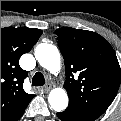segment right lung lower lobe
I'll list each match as a JSON object with an SVG mask.
<instances>
[{
  "mask_svg": "<svg viewBox=\"0 0 121 121\" xmlns=\"http://www.w3.org/2000/svg\"><path fill=\"white\" fill-rule=\"evenodd\" d=\"M24 110L19 115H17L14 119H12V121H17L22 116Z\"/></svg>",
  "mask_w": 121,
  "mask_h": 121,
  "instance_id": "1",
  "label": "right lung lower lobe"
}]
</instances>
